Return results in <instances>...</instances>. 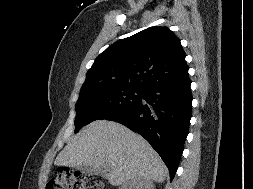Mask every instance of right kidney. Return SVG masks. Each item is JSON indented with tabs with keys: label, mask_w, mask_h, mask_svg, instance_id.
<instances>
[{
	"label": "right kidney",
	"mask_w": 253,
	"mask_h": 189,
	"mask_svg": "<svg viewBox=\"0 0 253 189\" xmlns=\"http://www.w3.org/2000/svg\"><path fill=\"white\" fill-rule=\"evenodd\" d=\"M119 189H154L151 179L135 178L123 184Z\"/></svg>",
	"instance_id": "1"
}]
</instances>
